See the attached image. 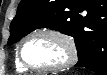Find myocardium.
Segmentation results:
<instances>
[{
  "label": "myocardium",
  "mask_w": 107,
  "mask_h": 75,
  "mask_svg": "<svg viewBox=\"0 0 107 75\" xmlns=\"http://www.w3.org/2000/svg\"><path fill=\"white\" fill-rule=\"evenodd\" d=\"M37 35H48L62 42L65 45L68 52L67 59L64 62L57 65L42 66V67L33 66L30 63H28L24 59L23 48L29 39ZM17 57L19 62L29 70L38 71V72L57 71V70H62L67 67H70L77 61L78 48L74 38L70 34L58 28L45 27V28H39V29L33 30L21 40L17 50Z\"/></svg>",
  "instance_id": "obj_1"
}]
</instances>
